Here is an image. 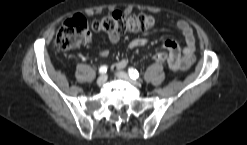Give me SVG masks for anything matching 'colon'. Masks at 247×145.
Segmentation results:
<instances>
[{
  "instance_id": "5ec220e1",
  "label": "colon",
  "mask_w": 247,
  "mask_h": 145,
  "mask_svg": "<svg viewBox=\"0 0 247 145\" xmlns=\"http://www.w3.org/2000/svg\"><path fill=\"white\" fill-rule=\"evenodd\" d=\"M155 19L149 14H124L113 12L92 23V29L98 33L123 34L128 31H147L154 27ZM90 31L83 15L77 14L66 20L59 28L55 46L60 51L70 50L90 39ZM165 62V54L156 57Z\"/></svg>"
}]
</instances>
